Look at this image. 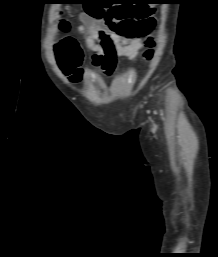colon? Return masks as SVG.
<instances>
[{
    "label": "colon",
    "mask_w": 218,
    "mask_h": 257,
    "mask_svg": "<svg viewBox=\"0 0 218 257\" xmlns=\"http://www.w3.org/2000/svg\"><path fill=\"white\" fill-rule=\"evenodd\" d=\"M65 10H74V5H65ZM81 10H88V14L94 18L104 19L119 35L128 38H147L148 48L143 58L147 62L151 60L155 40L150 34L157 21L152 5H81ZM67 28L68 24L63 22L62 29ZM57 55L65 71L80 66L83 61L82 49L72 37L61 40ZM93 67H97V64H93Z\"/></svg>",
    "instance_id": "5ec220e1"
}]
</instances>
